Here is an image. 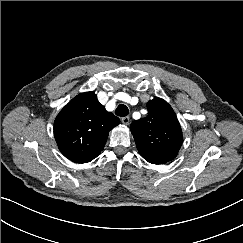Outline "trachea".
Returning a JSON list of instances; mask_svg holds the SVG:
<instances>
[{
    "mask_svg": "<svg viewBox=\"0 0 243 243\" xmlns=\"http://www.w3.org/2000/svg\"><path fill=\"white\" fill-rule=\"evenodd\" d=\"M128 113V107L124 104H120L115 110V114L120 117H125L128 115Z\"/></svg>",
    "mask_w": 243,
    "mask_h": 243,
    "instance_id": "trachea-1",
    "label": "trachea"
}]
</instances>
